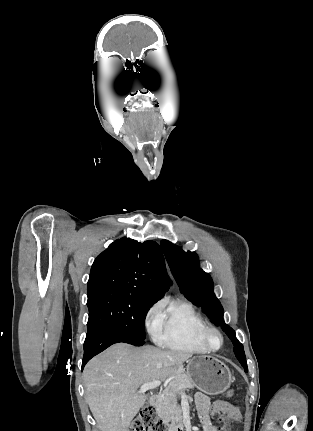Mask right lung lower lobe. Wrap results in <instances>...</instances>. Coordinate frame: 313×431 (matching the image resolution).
<instances>
[{
	"label": "right lung lower lobe",
	"mask_w": 313,
	"mask_h": 431,
	"mask_svg": "<svg viewBox=\"0 0 313 431\" xmlns=\"http://www.w3.org/2000/svg\"><path fill=\"white\" fill-rule=\"evenodd\" d=\"M125 342L134 346H142L144 340H139L131 335L116 329L102 327L86 335L84 342V357L82 370L85 364L95 355L99 354L115 343Z\"/></svg>",
	"instance_id": "right-lung-lower-lobe-1"
}]
</instances>
